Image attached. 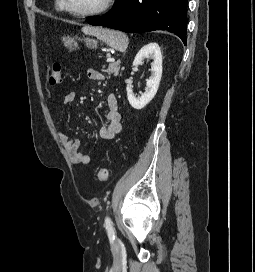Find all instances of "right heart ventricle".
I'll return each instance as SVG.
<instances>
[{
	"label": "right heart ventricle",
	"instance_id": "obj_1",
	"mask_svg": "<svg viewBox=\"0 0 255 272\" xmlns=\"http://www.w3.org/2000/svg\"><path fill=\"white\" fill-rule=\"evenodd\" d=\"M55 9H56L57 11H59V12H66V11L63 9L61 0H55Z\"/></svg>",
	"mask_w": 255,
	"mask_h": 272
}]
</instances>
